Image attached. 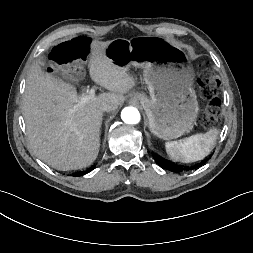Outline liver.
Returning a JSON list of instances; mask_svg holds the SVG:
<instances>
[{"label":"liver","mask_w":253,"mask_h":253,"mask_svg":"<svg viewBox=\"0 0 253 253\" xmlns=\"http://www.w3.org/2000/svg\"><path fill=\"white\" fill-rule=\"evenodd\" d=\"M111 41L90 44L89 74L98 85L109 90L87 103H80L76 88L45 73L39 63L30 70L23 100V116L29 144L47 165L61 171L83 169L93 164L100 148L104 102L114 110L136 85L127 68L106 55Z\"/></svg>","instance_id":"1"}]
</instances>
